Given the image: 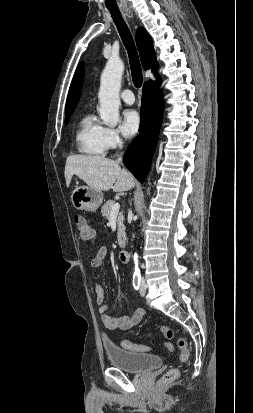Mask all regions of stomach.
<instances>
[{"mask_svg": "<svg viewBox=\"0 0 253 413\" xmlns=\"http://www.w3.org/2000/svg\"><path fill=\"white\" fill-rule=\"evenodd\" d=\"M71 201L76 209L95 211L103 202V193L89 186H79L72 192Z\"/></svg>", "mask_w": 253, "mask_h": 413, "instance_id": "obj_1", "label": "stomach"}]
</instances>
